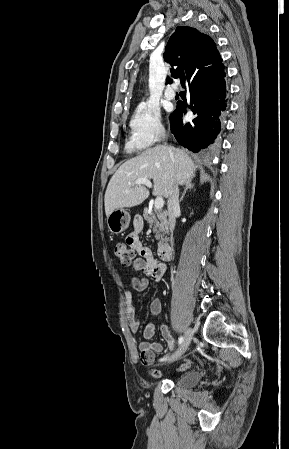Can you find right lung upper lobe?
<instances>
[{"mask_svg":"<svg viewBox=\"0 0 289 449\" xmlns=\"http://www.w3.org/2000/svg\"><path fill=\"white\" fill-rule=\"evenodd\" d=\"M164 60L171 66V76L179 78L183 86L206 77L222 64L213 39L199 30L179 26L170 37ZM170 78L167 83H171Z\"/></svg>","mask_w":289,"mask_h":449,"instance_id":"1","label":"right lung upper lobe"}]
</instances>
